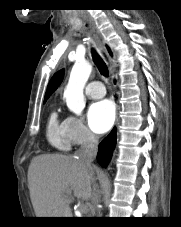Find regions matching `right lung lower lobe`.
Returning <instances> with one entry per match:
<instances>
[{
    "mask_svg": "<svg viewBox=\"0 0 181 227\" xmlns=\"http://www.w3.org/2000/svg\"><path fill=\"white\" fill-rule=\"evenodd\" d=\"M116 143V128H113L110 134L99 144L97 160L101 166L106 167L114 150Z\"/></svg>",
    "mask_w": 181,
    "mask_h": 227,
    "instance_id": "98d812e1",
    "label": "right lung lower lobe"
}]
</instances>
